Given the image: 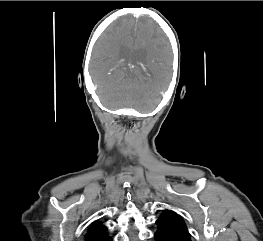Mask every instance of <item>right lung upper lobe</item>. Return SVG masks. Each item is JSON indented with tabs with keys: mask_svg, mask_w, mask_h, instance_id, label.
Returning <instances> with one entry per match:
<instances>
[{
	"mask_svg": "<svg viewBox=\"0 0 263 241\" xmlns=\"http://www.w3.org/2000/svg\"><path fill=\"white\" fill-rule=\"evenodd\" d=\"M107 228L101 222L94 221L87 230L85 241H108Z\"/></svg>",
	"mask_w": 263,
	"mask_h": 241,
	"instance_id": "obj_1",
	"label": "right lung upper lobe"
}]
</instances>
